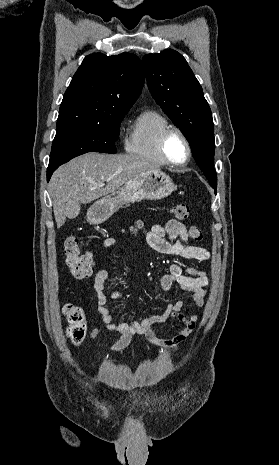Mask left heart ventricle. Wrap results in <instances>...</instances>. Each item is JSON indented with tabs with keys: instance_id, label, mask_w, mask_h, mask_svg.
I'll list each match as a JSON object with an SVG mask.
<instances>
[{
	"instance_id": "obj_1",
	"label": "left heart ventricle",
	"mask_w": 279,
	"mask_h": 465,
	"mask_svg": "<svg viewBox=\"0 0 279 465\" xmlns=\"http://www.w3.org/2000/svg\"><path fill=\"white\" fill-rule=\"evenodd\" d=\"M166 151L169 158L176 163L184 161L187 156L186 145L177 134H173L169 137L166 144Z\"/></svg>"
}]
</instances>
